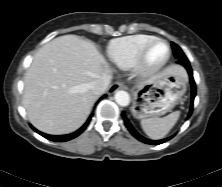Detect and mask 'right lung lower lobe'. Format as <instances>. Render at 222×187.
Wrapping results in <instances>:
<instances>
[{
    "label": "right lung lower lobe",
    "instance_id": "obj_1",
    "mask_svg": "<svg viewBox=\"0 0 222 187\" xmlns=\"http://www.w3.org/2000/svg\"><path fill=\"white\" fill-rule=\"evenodd\" d=\"M106 95H103L101 99L105 98ZM91 117H92V114L90 115V117L88 118L87 122L79 129L77 130L76 132L74 133H71V134H68V135H59V136H56V135H48V134H45V133H42L38 130H36L34 127H32L37 133H39L40 135H42L43 137H45L46 139L48 140H51V141H55V142H64V141H68V140H71L75 137H77L79 134H81L85 128L87 127V125L89 124L90 120H91Z\"/></svg>",
    "mask_w": 222,
    "mask_h": 187
}]
</instances>
